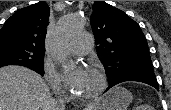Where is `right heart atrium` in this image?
<instances>
[{"mask_svg":"<svg viewBox=\"0 0 171 110\" xmlns=\"http://www.w3.org/2000/svg\"><path fill=\"white\" fill-rule=\"evenodd\" d=\"M44 77L50 86L51 90L56 95H62L64 93V87L60 78V75L56 71L55 67L52 65L51 62L45 60L44 62Z\"/></svg>","mask_w":171,"mask_h":110,"instance_id":"d8ad5b80","label":"right heart atrium"}]
</instances>
